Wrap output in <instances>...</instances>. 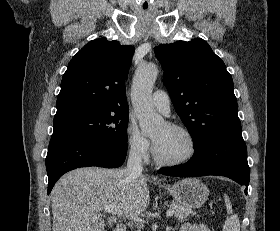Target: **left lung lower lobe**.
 Here are the masks:
<instances>
[{"mask_svg":"<svg viewBox=\"0 0 280 231\" xmlns=\"http://www.w3.org/2000/svg\"><path fill=\"white\" fill-rule=\"evenodd\" d=\"M194 149L195 154L187 163L161 168L159 172L176 177L225 176L245 186L247 194L250 172L241 131L211 136L197 142Z\"/></svg>","mask_w":280,"mask_h":231,"instance_id":"obj_1","label":"left lung lower lobe"}]
</instances>
